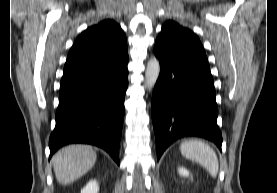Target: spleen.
<instances>
[{"mask_svg":"<svg viewBox=\"0 0 277 193\" xmlns=\"http://www.w3.org/2000/svg\"><path fill=\"white\" fill-rule=\"evenodd\" d=\"M181 154L203 166L212 177H216L219 170V161L215 151L205 142L188 140L180 145Z\"/></svg>","mask_w":277,"mask_h":193,"instance_id":"obj_1","label":"spleen"}]
</instances>
